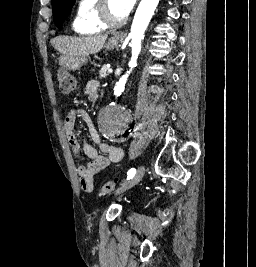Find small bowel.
<instances>
[{"label": "small bowel", "mask_w": 256, "mask_h": 267, "mask_svg": "<svg viewBox=\"0 0 256 267\" xmlns=\"http://www.w3.org/2000/svg\"><path fill=\"white\" fill-rule=\"evenodd\" d=\"M85 93L90 101H96L100 96V84L97 80H90L86 83ZM77 118H81L88 126L90 135L94 143L99 146L102 154L98 152L92 145L87 142H82L76 132L75 123ZM64 130L69 144L76 153L82 152L90 163L81 165L76 169L81 188L88 193L95 189V176L112 163L120 162L124 156L121 148L102 141L96 127L92 123L88 114L84 111L76 109L71 110L65 118Z\"/></svg>", "instance_id": "1"}]
</instances>
